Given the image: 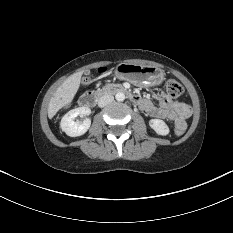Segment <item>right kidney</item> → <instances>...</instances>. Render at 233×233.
I'll return each instance as SVG.
<instances>
[{
  "instance_id": "right-kidney-1",
  "label": "right kidney",
  "mask_w": 233,
  "mask_h": 233,
  "mask_svg": "<svg viewBox=\"0 0 233 233\" xmlns=\"http://www.w3.org/2000/svg\"><path fill=\"white\" fill-rule=\"evenodd\" d=\"M91 113L88 107H79L70 110L61 119L60 127L70 137H77L85 134L91 125L89 118L84 119L83 122H75L74 119L78 115L87 116Z\"/></svg>"
}]
</instances>
